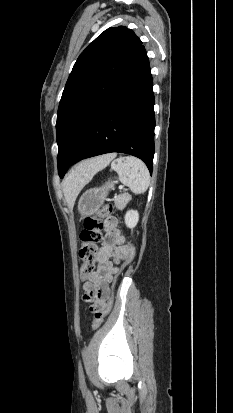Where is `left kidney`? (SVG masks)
I'll list each match as a JSON object with an SVG mask.
<instances>
[{
	"mask_svg": "<svg viewBox=\"0 0 233 413\" xmlns=\"http://www.w3.org/2000/svg\"><path fill=\"white\" fill-rule=\"evenodd\" d=\"M139 221V214L136 210H129L125 214V224L128 228L133 229Z\"/></svg>",
	"mask_w": 233,
	"mask_h": 413,
	"instance_id": "left-kidney-1",
	"label": "left kidney"
}]
</instances>
